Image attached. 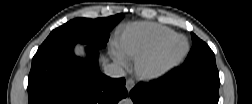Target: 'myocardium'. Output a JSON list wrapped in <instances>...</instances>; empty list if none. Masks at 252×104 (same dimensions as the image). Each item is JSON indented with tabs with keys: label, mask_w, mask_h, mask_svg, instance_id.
Listing matches in <instances>:
<instances>
[{
	"label": "myocardium",
	"mask_w": 252,
	"mask_h": 104,
	"mask_svg": "<svg viewBox=\"0 0 252 104\" xmlns=\"http://www.w3.org/2000/svg\"><path fill=\"white\" fill-rule=\"evenodd\" d=\"M176 38H184L186 41L183 51L172 58H164L161 56V52L164 47ZM189 50V44L187 39L180 34H173L155 44L152 48L140 55L135 60V70L137 74L146 79L155 78L169 69L177 66L187 55Z\"/></svg>",
	"instance_id": "f54148a6"
}]
</instances>
